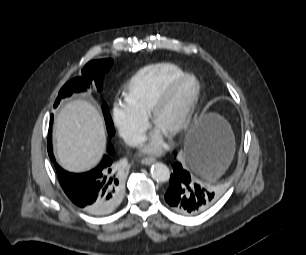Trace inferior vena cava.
Masks as SVG:
<instances>
[{"instance_id": "inferior-vena-cava-1", "label": "inferior vena cava", "mask_w": 306, "mask_h": 255, "mask_svg": "<svg viewBox=\"0 0 306 255\" xmlns=\"http://www.w3.org/2000/svg\"><path fill=\"white\" fill-rule=\"evenodd\" d=\"M142 141H143V138H141V137H133L132 138L133 145H138V144L142 143Z\"/></svg>"}]
</instances>
